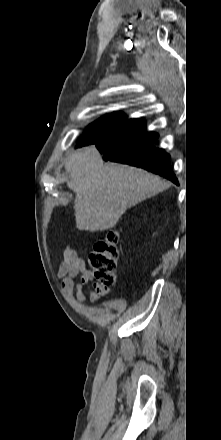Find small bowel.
Listing matches in <instances>:
<instances>
[{
	"mask_svg": "<svg viewBox=\"0 0 221 440\" xmlns=\"http://www.w3.org/2000/svg\"><path fill=\"white\" fill-rule=\"evenodd\" d=\"M57 276L62 279L64 293L68 297H72L75 293L77 300L81 303L86 299L84 287L89 283H91L89 297L92 302H99L111 292L110 288L103 287L94 280L83 258L70 247H66L63 252V260L59 264Z\"/></svg>",
	"mask_w": 221,
	"mask_h": 440,
	"instance_id": "1",
	"label": "small bowel"
}]
</instances>
